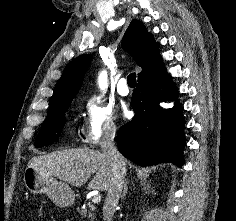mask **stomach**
Wrapping results in <instances>:
<instances>
[{
	"mask_svg": "<svg viewBox=\"0 0 236 221\" xmlns=\"http://www.w3.org/2000/svg\"><path fill=\"white\" fill-rule=\"evenodd\" d=\"M23 180L29 191L36 194L45 193L58 206H71L74 203L75 195L72 189L67 184L58 182L53 176L27 167Z\"/></svg>",
	"mask_w": 236,
	"mask_h": 221,
	"instance_id": "obj_1",
	"label": "stomach"
}]
</instances>
